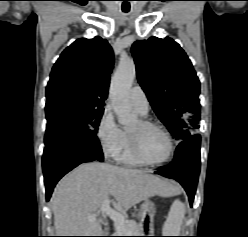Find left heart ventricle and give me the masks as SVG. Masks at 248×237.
I'll list each match as a JSON object with an SVG mask.
<instances>
[{
  "label": "left heart ventricle",
  "instance_id": "b2bd125f",
  "mask_svg": "<svg viewBox=\"0 0 248 237\" xmlns=\"http://www.w3.org/2000/svg\"><path fill=\"white\" fill-rule=\"evenodd\" d=\"M129 132L137 137L143 155L151 161H159L168 153V142L166 137L158 129L152 127H141L136 122Z\"/></svg>",
  "mask_w": 248,
  "mask_h": 237
}]
</instances>
